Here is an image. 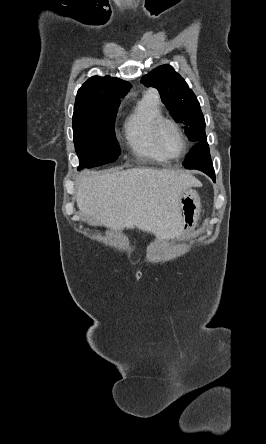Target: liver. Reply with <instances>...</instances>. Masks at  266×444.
<instances>
[{
  "mask_svg": "<svg viewBox=\"0 0 266 444\" xmlns=\"http://www.w3.org/2000/svg\"><path fill=\"white\" fill-rule=\"evenodd\" d=\"M77 184V206L91 225L115 230L137 227L169 240L181 235V193L199 182L181 170L132 168L118 172L85 170L78 175Z\"/></svg>",
  "mask_w": 266,
  "mask_h": 444,
  "instance_id": "liver-1",
  "label": "liver"
}]
</instances>
